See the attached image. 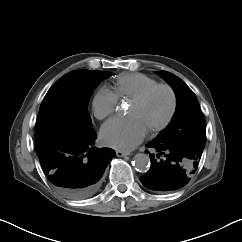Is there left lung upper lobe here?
<instances>
[{
	"label": "left lung upper lobe",
	"mask_w": 242,
	"mask_h": 242,
	"mask_svg": "<svg viewBox=\"0 0 242 242\" xmlns=\"http://www.w3.org/2000/svg\"><path fill=\"white\" fill-rule=\"evenodd\" d=\"M159 75L173 88L177 108L169 126L154 140L169 145H192L204 149L206 129L196 95L174 74L160 71Z\"/></svg>",
	"instance_id": "obj_1"
}]
</instances>
